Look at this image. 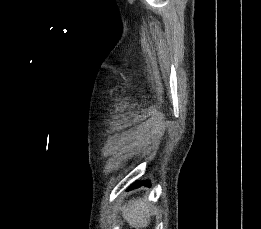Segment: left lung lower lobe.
<instances>
[{"label":"left lung lower lobe","instance_id":"obj_1","mask_svg":"<svg viewBox=\"0 0 261 229\" xmlns=\"http://www.w3.org/2000/svg\"><path fill=\"white\" fill-rule=\"evenodd\" d=\"M144 183H146L147 185H150V181L145 180ZM141 183L139 181L135 182L131 187H129V189H133L136 188L140 185Z\"/></svg>","mask_w":261,"mask_h":229}]
</instances>
